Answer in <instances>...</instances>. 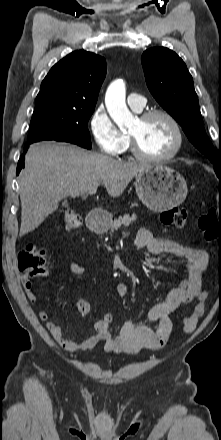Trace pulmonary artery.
Wrapping results in <instances>:
<instances>
[{
    "mask_svg": "<svg viewBox=\"0 0 221 440\" xmlns=\"http://www.w3.org/2000/svg\"><path fill=\"white\" fill-rule=\"evenodd\" d=\"M128 105L135 111H141L145 106V98L138 93H131L127 97Z\"/></svg>",
    "mask_w": 221,
    "mask_h": 440,
    "instance_id": "obj_1",
    "label": "pulmonary artery"
}]
</instances>
